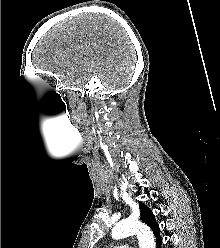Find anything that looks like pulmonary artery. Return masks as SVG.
<instances>
[{"label":"pulmonary artery","instance_id":"pulmonary-artery-1","mask_svg":"<svg viewBox=\"0 0 220 248\" xmlns=\"http://www.w3.org/2000/svg\"><path fill=\"white\" fill-rule=\"evenodd\" d=\"M114 248H130V247L127 246V245H120V246H116V247H114Z\"/></svg>","mask_w":220,"mask_h":248}]
</instances>
